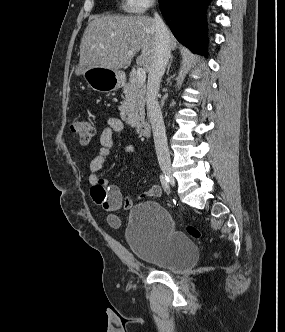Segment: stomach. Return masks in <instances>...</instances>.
<instances>
[{"mask_svg": "<svg viewBox=\"0 0 285 332\" xmlns=\"http://www.w3.org/2000/svg\"><path fill=\"white\" fill-rule=\"evenodd\" d=\"M83 76L88 86L98 92H111L118 89L123 79L121 71L101 67L87 69Z\"/></svg>", "mask_w": 285, "mask_h": 332, "instance_id": "stomach-1", "label": "stomach"}]
</instances>
